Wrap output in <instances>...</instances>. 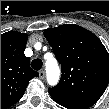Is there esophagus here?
I'll use <instances>...</instances> for the list:
<instances>
[{"mask_svg": "<svg viewBox=\"0 0 109 109\" xmlns=\"http://www.w3.org/2000/svg\"><path fill=\"white\" fill-rule=\"evenodd\" d=\"M38 74H39V78H40V79H43L44 76H45V71H44V69L40 70Z\"/></svg>", "mask_w": 109, "mask_h": 109, "instance_id": "obj_1", "label": "esophagus"}]
</instances>
